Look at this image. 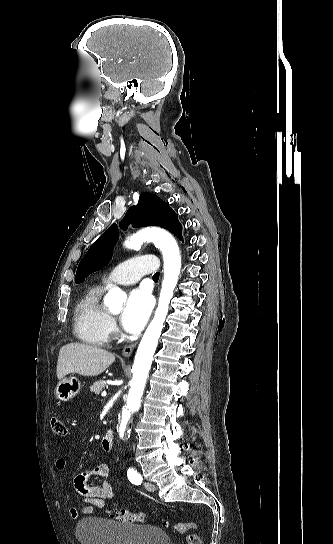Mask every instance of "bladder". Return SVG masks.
<instances>
[{
    "mask_svg": "<svg viewBox=\"0 0 333 544\" xmlns=\"http://www.w3.org/2000/svg\"><path fill=\"white\" fill-rule=\"evenodd\" d=\"M80 544H170L169 536L152 525H131L89 517L75 528Z\"/></svg>",
    "mask_w": 333,
    "mask_h": 544,
    "instance_id": "bladder-1",
    "label": "bladder"
}]
</instances>
